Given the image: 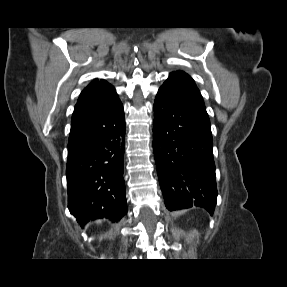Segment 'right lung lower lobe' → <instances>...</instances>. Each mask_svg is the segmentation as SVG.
<instances>
[{
    "mask_svg": "<svg viewBox=\"0 0 287 287\" xmlns=\"http://www.w3.org/2000/svg\"><path fill=\"white\" fill-rule=\"evenodd\" d=\"M125 118L118 99L111 106L74 117L68 140V208L79 223L113 222L127 212L123 179Z\"/></svg>",
    "mask_w": 287,
    "mask_h": 287,
    "instance_id": "obj_1",
    "label": "right lung lower lobe"
}]
</instances>
